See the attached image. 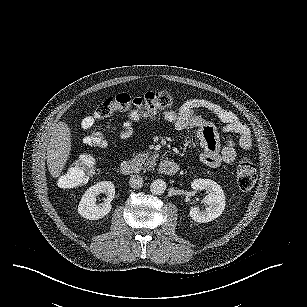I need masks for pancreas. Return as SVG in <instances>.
I'll return each mask as SVG.
<instances>
[{
	"mask_svg": "<svg viewBox=\"0 0 307 307\" xmlns=\"http://www.w3.org/2000/svg\"><path fill=\"white\" fill-rule=\"evenodd\" d=\"M158 155H151L147 153H139L134 155L132 162L136 166V171L152 170L156 165V158Z\"/></svg>",
	"mask_w": 307,
	"mask_h": 307,
	"instance_id": "1",
	"label": "pancreas"
}]
</instances>
